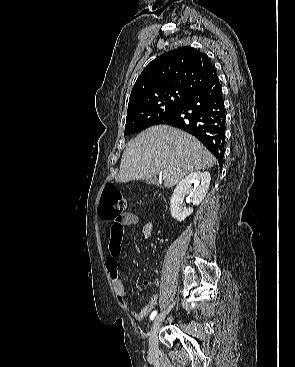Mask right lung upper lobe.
Returning a JSON list of instances; mask_svg holds the SVG:
<instances>
[{"label": "right lung upper lobe", "instance_id": "right-lung-upper-lobe-1", "mask_svg": "<svg viewBox=\"0 0 295 367\" xmlns=\"http://www.w3.org/2000/svg\"><path fill=\"white\" fill-rule=\"evenodd\" d=\"M218 79L209 58L192 47H180L151 61L136 80L129 104L168 91L192 94Z\"/></svg>", "mask_w": 295, "mask_h": 367}]
</instances>
